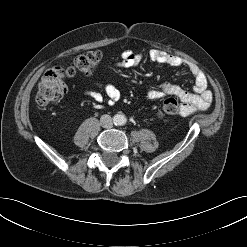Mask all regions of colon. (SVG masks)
<instances>
[{
  "label": "colon",
  "instance_id": "obj_1",
  "mask_svg": "<svg viewBox=\"0 0 247 247\" xmlns=\"http://www.w3.org/2000/svg\"><path fill=\"white\" fill-rule=\"evenodd\" d=\"M100 53L98 51H90L82 55H78L74 64L63 70L55 67L48 70L42 77L36 93V103L39 107H48L60 102L67 93V83L65 76H74L76 74L89 75L98 66L100 62ZM181 106L177 99L168 98L158 111V117L173 116L180 112Z\"/></svg>",
  "mask_w": 247,
  "mask_h": 247
}]
</instances>
